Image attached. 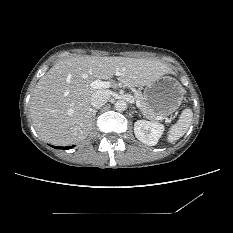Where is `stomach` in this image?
<instances>
[{"instance_id": "stomach-1", "label": "stomach", "mask_w": 233, "mask_h": 233, "mask_svg": "<svg viewBox=\"0 0 233 233\" xmlns=\"http://www.w3.org/2000/svg\"><path fill=\"white\" fill-rule=\"evenodd\" d=\"M184 94L182 85L171 76L161 77L143 91L145 102L157 115H170L176 111Z\"/></svg>"}]
</instances>
